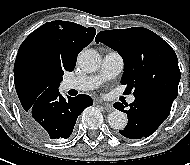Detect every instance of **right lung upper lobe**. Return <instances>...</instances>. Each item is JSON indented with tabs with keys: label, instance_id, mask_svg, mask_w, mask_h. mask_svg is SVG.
Masks as SVG:
<instances>
[{
	"label": "right lung upper lobe",
	"instance_id": "right-lung-upper-lobe-1",
	"mask_svg": "<svg viewBox=\"0 0 190 165\" xmlns=\"http://www.w3.org/2000/svg\"><path fill=\"white\" fill-rule=\"evenodd\" d=\"M95 35L93 27L56 20L40 26L23 41L14 65L21 109H29L41 94L51 90L64 71H73L78 53Z\"/></svg>",
	"mask_w": 190,
	"mask_h": 165
}]
</instances>
